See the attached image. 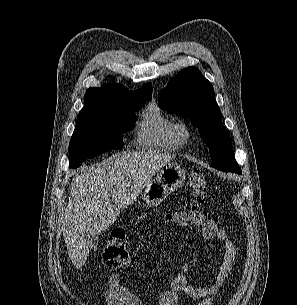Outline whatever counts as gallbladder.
Here are the masks:
<instances>
[{"label":"gallbladder","instance_id":"gallbladder-1","mask_svg":"<svg viewBox=\"0 0 297 305\" xmlns=\"http://www.w3.org/2000/svg\"><path fill=\"white\" fill-rule=\"evenodd\" d=\"M84 242L89 250H95L98 246L99 237L96 234L85 233Z\"/></svg>","mask_w":297,"mask_h":305}]
</instances>
